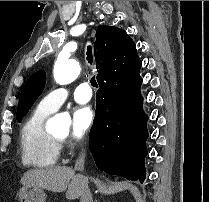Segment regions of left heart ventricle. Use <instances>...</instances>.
Wrapping results in <instances>:
<instances>
[{
	"mask_svg": "<svg viewBox=\"0 0 209 202\" xmlns=\"http://www.w3.org/2000/svg\"><path fill=\"white\" fill-rule=\"evenodd\" d=\"M57 137H58V138H62L63 136H61V135H58Z\"/></svg>",
	"mask_w": 209,
	"mask_h": 202,
	"instance_id": "b2bd125f",
	"label": "left heart ventricle"
}]
</instances>
